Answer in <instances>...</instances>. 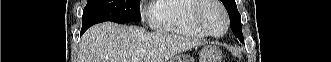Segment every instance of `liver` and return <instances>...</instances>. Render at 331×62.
I'll return each mask as SVG.
<instances>
[{
  "mask_svg": "<svg viewBox=\"0 0 331 62\" xmlns=\"http://www.w3.org/2000/svg\"><path fill=\"white\" fill-rule=\"evenodd\" d=\"M201 42L165 32L105 22L92 26L80 44L82 62H167Z\"/></svg>",
  "mask_w": 331,
  "mask_h": 62,
  "instance_id": "6515ba94",
  "label": "liver"
}]
</instances>
